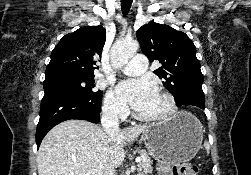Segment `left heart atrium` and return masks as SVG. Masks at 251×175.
Listing matches in <instances>:
<instances>
[{"label": "left heart atrium", "mask_w": 251, "mask_h": 175, "mask_svg": "<svg viewBox=\"0 0 251 175\" xmlns=\"http://www.w3.org/2000/svg\"><path fill=\"white\" fill-rule=\"evenodd\" d=\"M116 94L123 104L142 113L153 105L159 95L156 82L148 77L120 81L116 86Z\"/></svg>", "instance_id": "left-heart-atrium-1"}]
</instances>
